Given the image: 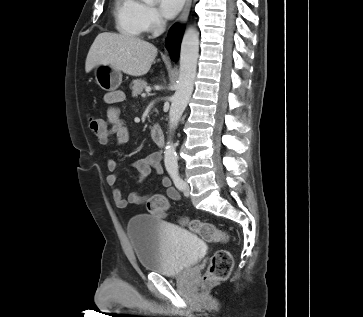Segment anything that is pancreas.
Listing matches in <instances>:
<instances>
[{"label":"pancreas","instance_id":"obj_1","mask_svg":"<svg viewBox=\"0 0 363 317\" xmlns=\"http://www.w3.org/2000/svg\"><path fill=\"white\" fill-rule=\"evenodd\" d=\"M147 82L142 79H136L132 81L130 88L132 90V97H137L140 95L144 89L147 87Z\"/></svg>","mask_w":363,"mask_h":317}]
</instances>
